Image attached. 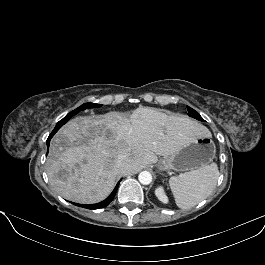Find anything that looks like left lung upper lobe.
I'll use <instances>...</instances> for the list:
<instances>
[{
    "label": "left lung upper lobe",
    "mask_w": 265,
    "mask_h": 265,
    "mask_svg": "<svg viewBox=\"0 0 265 265\" xmlns=\"http://www.w3.org/2000/svg\"><path fill=\"white\" fill-rule=\"evenodd\" d=\"M188 109V115L197 119V120H200V121H203V118L192 108L190 107H187Z\"/></svg>",
    "instance_id": "5c2ea615"
}]
</instances>
